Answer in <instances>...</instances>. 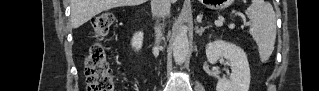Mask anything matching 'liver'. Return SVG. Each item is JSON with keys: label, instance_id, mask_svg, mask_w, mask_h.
<instances>
[{"label": "liver", "instance_id": "obj_1", "mask_svg": "<svg viewBox=\"0 0 319 91\" xmlns=\"http://www.w3.org/2000/svg\"><path fill=\"white\" fill-rule=\"evenodd\" d=\"M176 0H170L174 3ZM146 0H71V24L78 28L103 11L120 7L135 6Z\"/></svg>", "mask_w": 319, "mask_h": 91}]
</instances>
